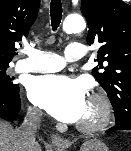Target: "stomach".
I'll return each instance as SVG.
<instances>
[{
	"label": "stomach",
	"instance_id": "obj_1",
	"mask_svg": "<svg viewBox=\"0 0 131 151\" xmlns=\"http://www.w3.org/2000/svg\"><path fill=\"white\" fill-rule=\"evenodd\" d=\"M80 151H109V149L101 140L94 138L85 141Z\"/></svg>",
	"mask_w": 131,
	"mask_h": 151
}]
</instances>
